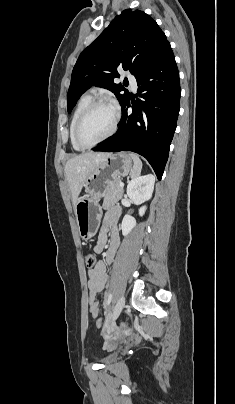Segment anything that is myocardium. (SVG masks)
<instances>
[{
	"instance_id": "f54148a6",
	"label": "myocardium",
	"mask_w": 235,
	"mask_h": 404,
	"mask_svg": "<svg viewBox=\"0 0 235 404\" xmlns=\"http://www.w3.org/2000/svg\"><path fill=\"white\" fill-rule=\"evenodd\" d=\"M98 106H109L113 109L114 111V119H113V123H112V127L109 130V132L103 136L101 139H99L98 141L91 143V144H86L82 141L81 137H80V130H81V126L85 120V118L87 117V115L96 107ZM119 119H120V113L118 108L112 104L111 102H109L106 99H95L92 100L85 108L84 110L81 112V114L79 115L76 125H75V130H74V138L76 143L82 147L83 149H90L93 148L95 146H97L98 144L108 140L110 137H112L114 135V133L117 130L118 127V123H119Z\"/></svg>"
}]
</instances>
